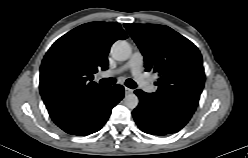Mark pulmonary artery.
I'll return each instance as SVG.
<instances>
[{
  "mask_svg": "<svg viewBox=\"0 0 248 158\" xmlns=\"http://www.w3.org/2000/svg\"><path fill=\"white\" fill-rule=\"evenodd\" d=\"M142 69H143V56L141 52L135 51L128 60V62H126L122 67H120L118 70H116L113 73H120L125 70H131L132 75L134 76L139 86L147 92H152L153 86L149 82L147 77L142 73Z\"/></svg>",
  "mask_w": 248,
  "mask_h": 158,
  "instance_id": "1",
  "label": "pulmonary artery"
}]
</instances>
